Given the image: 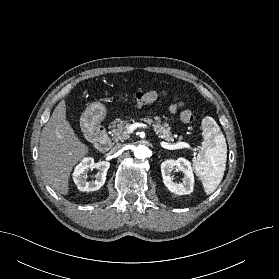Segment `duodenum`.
Segmentation results:
<instances>
[{
    "instance_id": "1",
    "label": "duodenum",
    "mask_w": 279,
    "mask_h": 279,
    "mask_svg": "<svg viewBox=\"0 0 279 279\" xmlns=\"http://www.w3.org/2000/svg\"><path fill=\"white\" fill-rule=\"evenodd\" d=\"M85 133L98 151L106 152L111 148L112 142L103 126L88 122L85 125Z\"/></svg>"
}]
</instances>
